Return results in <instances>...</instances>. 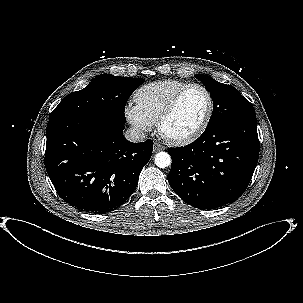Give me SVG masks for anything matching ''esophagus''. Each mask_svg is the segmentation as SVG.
Listing matches in <instances>:
<instances>
[{"instance_id": "34e87169", "label": "esophagus", "mask_w": 303, "mask_h": 303, "mask_svg": "<svg viewBox=\"0 0 303 303\" xmlns=\"http://www.w3.org/2000/svg\"><path fill=\"white\" fill-rule=\"evenodd\" d=\"M165 147L159 143H154V151L157 152V151H160V150H164Z\"/></svg>"}]
</instances>
